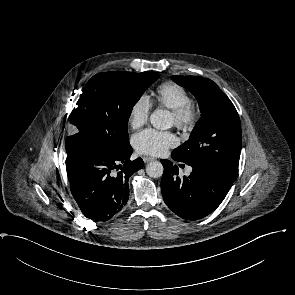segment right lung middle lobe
I'll list each match as a JSON object with an SVG mask.
<instances>
[{"instance_id":"dd1d6c3e","label":"right lung middle lobe","mask_w":295,"mask_h":295,"mask_svg":"<svg viewBox=\"0 0 295 295\" xmlns=\"http://www.w3.org/2000/svg\"><path fill=\"white\" fill-rule=\"evenodd\" d=\"M158 78L155 72L113 71L94 75L67 118L77 132L66 138L67 154L86 147L125 151L130 145L127 126L132 108Z\"/></svg>"}]
</instances>
